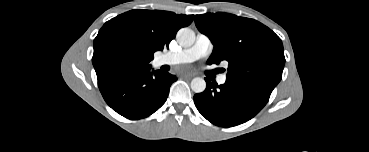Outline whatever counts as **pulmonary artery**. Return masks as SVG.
Listing matches in <instances>:
<instances>
[{
	"mask_svg": "<svg viewBox=\"0 0 369 152\" xmlns=\"http://www.w3.org/2000/svg\"><path fill=\"white\" fill-rule=\"evenodd\" d=\"M212 49L213 45L209 37L204 34H198L193 46L178 52L166 53L160 56L157 62L159 65L190 63L210 54ZM217 81L219 84H224L226 82V75H220Z\"/></svg>",
	"mask_w": 369,
	"mask_h": 152,
	"instance_id": "pulmonary-artery-1",
	"label": "pulmonary artery"
}]
</instances>
